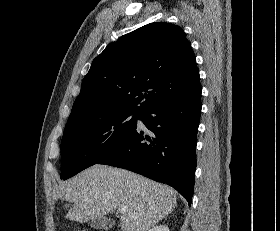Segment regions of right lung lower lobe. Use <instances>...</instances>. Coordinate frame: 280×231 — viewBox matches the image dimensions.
<instances>
[{"label":"right lung lower lobe","instance_id":"1","mask_svg":"<svg viewBox=\"0 0 280 231\" xmlns=\"http://www.w3.org/2000/svg\"><path fill=\"white\" fill-rule=\"evenodd\" d=\"M202 90L163 101L140 118L153 132L137 128L97 164L124 168L175 188L190 206L194 191L197 129Z\"/></svg>","mask_w":280,"mask_h":231}]
</instances>
